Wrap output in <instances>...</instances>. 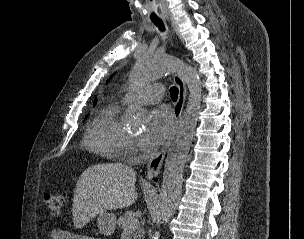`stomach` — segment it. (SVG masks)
Listing matches in <instances>:
<instances>
[{"label":"stomach","mask_w":304,"mask_h":239,"mask_svg":"<svg viewBox=\"0 0 304 239\" xmlns=\"http://www.w3.org/2000/svg\"><path fill=\"white\" fill-rule=\"evenodd\" d=\"M98 228L101 234L109 236L116 229V216L107 211L99 214L97 218Z\"/></svg>","instance_id":"0dacf381"}]
</instances>
